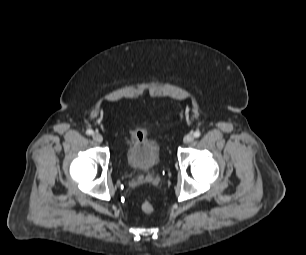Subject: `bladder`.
Returning <instances> with one entry per match:
<instances>
[{"label": "bladder", "instance_id": "obj_1", "mask_svg": "<svg viewBox=\"0 0 306 255\" xmlns=\"http://www.w3.org/2000/svg\"><path fill=\"white\" fill-rule=\"evenodd\" d=\"M126 162L128 166L138 172H151L160 163V145L150 136L143 140L130 139L126 146Z\"/></svg>", "mask_w": 306, "mask_h": 255}]
</instances>
